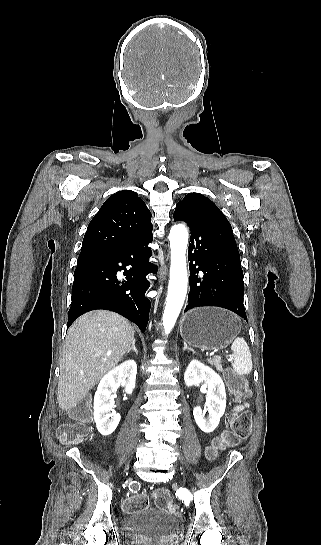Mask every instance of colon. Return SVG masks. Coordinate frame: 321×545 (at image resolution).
Wrapping results in <instances>:
<instances>
[{
  "label": "colon",
  "instance_id": "obj_1",
  "mask_svg": "<svg viewBox=\"0 0 321 545\" xmlns=\"http://www.w3.org/2000/svg\"><path fill=\"white\" fill-rule=\"evenodd\" d=\"M226 381L232 395L240 400L250 395L247 382L232 371H227ZM70 416L72 422L64 424L58 431V438L64 444H78L84 440L88 432L91 414L87 402H82L71 408ZM251 414L248 411L236 413L230 421V430L216 439L208 451L210 457H214L218 451L225 447H234L245 440L251 431ZM155 503L161 509L176 513V505L171 500L166 490L159 489L152 495ZM151 497L147 494H137L126 498L123 502V509L126 512H134L149 507Z\"/></svg>",
  "mask_w": 321,
  "mask_h": 545
}]
</instances>
